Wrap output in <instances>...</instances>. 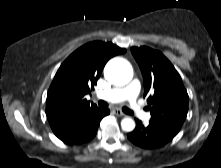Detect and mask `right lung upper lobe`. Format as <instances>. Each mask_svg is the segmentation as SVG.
<instances>
[{
	"instance_id": "1",
	"label": "right lung upper lobe",
	"mask_w": 221,
	"mask_h": 168,
	"mask_svg": "<svg viewBox=\"0 0 221 168\" xmlns=\"http://www.w3.org/2000/svg\"><path fill=\"white\" fill-rule=\"evenodd\" d=\"M126 50L110 42H90L73 52L58 69L48 90L46 115L49 122L97 109L85 99L106 64Z\"/></svg>"
}]
</instances>
